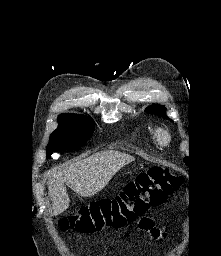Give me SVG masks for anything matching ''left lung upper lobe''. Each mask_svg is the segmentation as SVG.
<instances>
[{"mask_svg": "<svg viewBox=\"0 0 221 256\" xmlns=\"http://www.w3.org/2000/svg\"><path fill=\"white\" fill-rule=\"evenodd\" d=\"M146 112H149L151 114H157L163 118L169 119L166 114H165V107L164 106H159L157 104H154L152 106H149L145 110ZM185 163L187 164V159H185Z\"/></svg>", "mask_w": 221, "mask_h": 256, "instance_id": "5c2ea615", "label": "left lung upper lobe"}]
</instances>
